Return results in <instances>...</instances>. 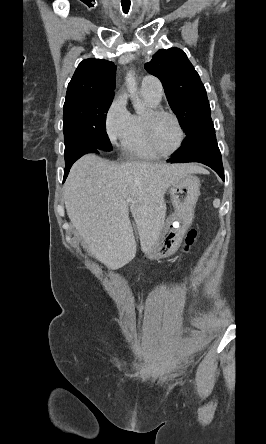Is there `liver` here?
Wrapping results in <instances>:
<instances>
[{
  "mask_svg": "<svg viewBox=\"0 0 266 444\" xmlns=\"http://www.w3.org/2000/svg\"><path fill=\"white\" fill-rule=\"evenodd\" d=\"M202 171L194 164H114L87 154L72 166L64 185L67 215L89 252L108 268L118 269L136 255L129 210L142 250L148 251L164 225L166 190Z\"/></svg>",
  "mask_w": 266,
  "mask_h": 444,
  "instance_id": "1",
  "label": "liver"
}]
</instances>
